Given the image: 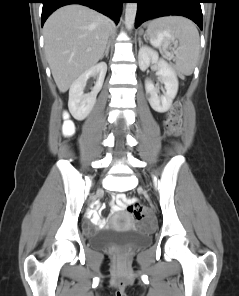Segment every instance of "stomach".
<instances>
[{
    "mask_svg": "<svg viewBox=\"0 0 239 296\" xmlns=\"http://www.w3.org/2000/svg\"><path fill=\"white\" fill-rule=\"evenodd\" d=\"M149 37L151 40V43L154 46H161L163 43H166L169 40H173V32L169 28H163L160 27L159 29H155L151 33H149Z\"/></svg>",
    "mask_w": 239,
    "mask_h": 296,
    "instance_id": "obj_1",
    "label": "stomach"
}]
</instances>
